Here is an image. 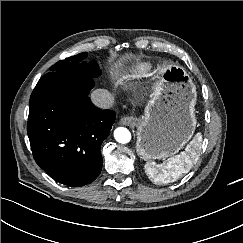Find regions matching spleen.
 Here are the masks:
<instances>
[{"label": "spleen", "mask_w": 243, "mask_h": 243, "mask_svg": "<svg viewBox=\"0 0 243 243\" xmlns=\"http://www.w3.org/2000/svg\"><path fill=\"white\" fill-rule=\"evenodd\" d=\"M201 133L186 146L185 151L169 158L162 164L147 162L144 166L145 173L154 183L168 184L178 180L183 174L188 173L193 164L197 162L201 150Z\"/></svg>", "instance_id": "3e777b00"}]
</instances>
